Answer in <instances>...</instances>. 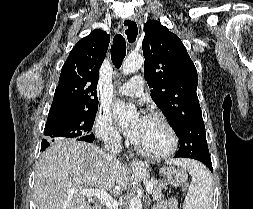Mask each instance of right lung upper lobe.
Returning <instances> with one entry per match:
<instances>
[{
    "label": "right lung upper lobe",
    "instance_id": "cb5924a9",
    "mask_svg": "<svg viewBox=\"0 0 253 209\" xmlns=\"http://www.w3.org/2000/svg\"><path fill=\"white\" fill-rule=\"evenodd\" d=\"M109 41L110 35L106 32L94 30L74 46L62 67L49 117L98 106L99 70Z\"/></svg>",
    "mask_w": 253,
    "mask_h": 209
}]
</instances>
